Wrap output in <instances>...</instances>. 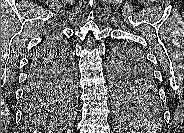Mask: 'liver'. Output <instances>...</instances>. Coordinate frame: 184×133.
<instances>
[{
    "mask_svg": "<svg viewBox=\"0 0 184 133\" xmlns=\"http://www.w3.org/2000/svg\"><path fill=\"white\" fill-rule=\"evenodd\" d=\"M64 130H65V128H63ZM40 131V133H41V131H43L42 129H38V130H35V132H39ZM47 131H50V130H47ZM67 131H69V130H67Z\"/></svg>",
    "mask_w": 184,
    "mask_h": 133,
    "instance_id": "6515ba94",
    "label": "liver"
}]
</instances>
